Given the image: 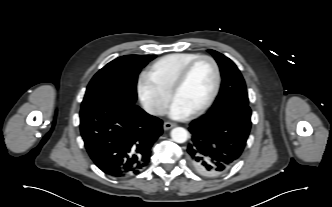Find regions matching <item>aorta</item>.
Wrapping results in <instances>:
<instances>
[{"label":"aorta","instance_id":"1","mask_svg":"<svg viewBox=\"0 0 332 207\" xmlns=\"http://www.w3.org/2000/svg\"><path fill=\"white\" fill-rule=\"evenodd\" d=\"M171 138L176 143H184L188 139V132L182 127H176L171 131Z\"/></svg>","mask_w":332,"mask_h":207}]
</instances>
